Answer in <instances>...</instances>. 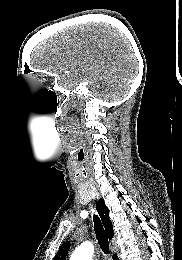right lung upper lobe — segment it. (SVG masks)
<instances>
[{
  "mask_svg": "<svg viewBox=\"0 0 182 260\" xmlns=\"http://www.w3.org/2000/svg\"><path fill=\"white\" fill-rule=\"evenodd\" d=\"M96 209L101 217V220L103 222L107 235H108L109 239H111L113 236V226L109 219L108 207L105 205L103 199H99L97 201ZM69 249H70V242L67 241V242L63 243L60 246V248H59L57 254L55 255V257L53 258V260H65V257L67 255Z\"/></svg>",
  "mask_w": 182,
  "mask_h": 260,
  "instance_id": "right-lung-upper-lobe-1",
  "label": "right lung upper lobe"
}]
</instances>
